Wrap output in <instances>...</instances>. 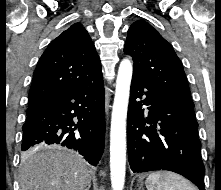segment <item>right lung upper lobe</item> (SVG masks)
Wrapping results in <instances>:
<instances>
[{
    "mask_svg": "<svg viewBox=\"0 0 221 190\" xmlns=\"http://www.w3.org/2000/svg\"><path fill=\"white\" fill-rule=\"evenodd\" d=\"M102 74L95 46L82 24L75 23L46 48L33 74L28 106Z\"/></svg>",
    "mask_w": 221,
    "mask_h": 190,
    "instance_id": "obj_1",
    "label": "right lung upper lobe"
}]
</instances>
